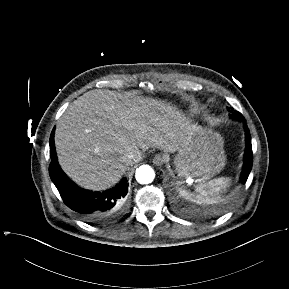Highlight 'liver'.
<instances>
[{"mask_svg": "<svg viewBox=\"0 0 289 289\" xmlns=\"http://www.w3.org/2000/svg\"><path fill=\"white\" fill-rule=\"evenodd\" d=\"M120 98L95 89L77 98L59 119L55 147L62 170L79 186L105 190L129 170L125 156L150 147L175 152L192 125L161 100Z\"/></svg>", "mask_w": 289, "mask_h": 289, "instance_id": "liver-1", "label": "liver"}]
</instances>
